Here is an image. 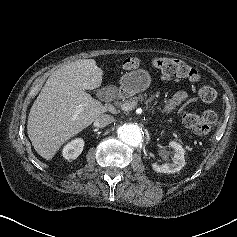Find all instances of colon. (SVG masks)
I'll return each mask as SVG.
<instances>
[{"label":"colon","mask_w":237,"mask_h":237,"mask_svg":"<svg viewBox=\"0 0 237 237\" xmlns=\"http://www.w3.org/2000/svg\"><path fill=\"white\" fill-rule=\"evenodd\" d=\"M123 65L128 70H135L141 66V61L132 57L126 59ZM151 65L167 76L186 78L193 83L200 82L203 78L195 68L181 60L156 57L151 60ZM198 96L203 102L211 103L216 99L217 91L209 85H204L199 89ZM217 118L215 111L206 110L201 118L194 113L184 112L182 121L186 127L194 130L197 134L205 135L216 124Z\"/></svg>","instance_id":"5ec220e1"}]
</instances>
